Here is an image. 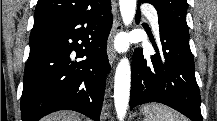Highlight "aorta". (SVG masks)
<instances>
[{
    "instance_id": "762f6f07",
    "label": "aorta",
    "mask_w": 217,
    "mask_h": 121,
    "mask_svg": "<svg viewBox=\"0 0 217 121\" xmlns=\"http://www.w3.org/2000/svg\"><path fill=\"white\" fill-rule=\"evenodd\" d=\"M121 17L125 26H129L134 19L136 0H119ZM131 68L127 58H123L115 73L114 103L119 121H123L130 96Z\"/></svg>"
}]
</instances>
